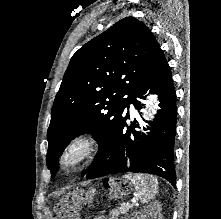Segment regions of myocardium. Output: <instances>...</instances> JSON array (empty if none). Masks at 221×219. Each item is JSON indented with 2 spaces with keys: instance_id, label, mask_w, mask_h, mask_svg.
<instances>
[{
  "instance_id": "myocardium-1",
  "label": "myocardium",
  "mask_w": 221,
  "mask_h": 219,
  "mask_svg": "<svg viewBox=\"0 0 221 219\" xmlns=\"http://www.w3.org/2000/svg\"><path fill=\"white\" fill-rule=\"evenodd\" d=\"M98 142L92 134L73 138L59 156V167L66 173L76 172L85 166L96 154Z\"/></svg>"
}]
</instances>
